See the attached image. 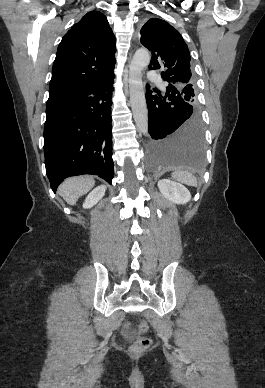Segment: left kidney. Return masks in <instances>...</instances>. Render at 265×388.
Instances as JSON below:
<instances>
[{
    "label": "left kidney",
    "mask_w": 265,
    "mask_h": 388,
    "mask_svg": "<svg viewBox=\"0 0 265 388\" xmlns=\"http://www.w3.org/2000/svg\"><path fill=\"white\" fill-rule=\"evenodd\" d=\"M158 188L163 194L164 198H167L169 202L173 204H187L191 200V194L185 186L177 184V182H171V180H159Z\"/></svg>",
    "instance_id": "5707ae66"
}]
</instances>
